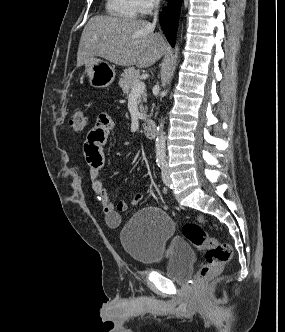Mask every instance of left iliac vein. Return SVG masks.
<instances>
[{"label":"left iliac vein","mask_w":285,"mask_h":332,"mask_svg":"<svg viewBox=\"0 0 285 332\" xmlns=\"http://www.w3.org/2000/svg\"><path fill=\"white\" fill-rule=\"evenodd\" d=\"M162 180L166 186H170L172 184L167 165L163 166Z\"/></svg>","instance_id":"left-iliac-vein-1"}]
</instances>
